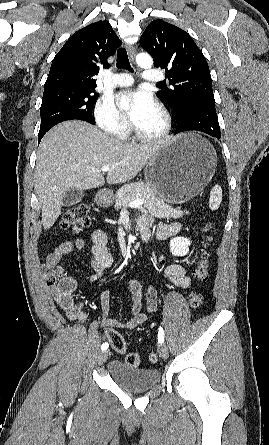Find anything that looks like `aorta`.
Masks as SVG:
<instances>
[{
	"mask_svg": "<svg viewBox=\"0 0 269 445\" xmlns=\"http://www.w3.org/2000/svg\"><path fill=\"white\" fill-rule=\"evenodd\" d=\"M136 62L141 68H144V69H149L153 65V59L151 58L150 55H148L146 53L138 54L136 56ZM120 105L123 109H128L129 102L126 100H122Z\"/></svg>",
	"mask_w": 269,
	"mask_h": 445,
	"instance_id": "aorta-1",
	"label": "aorta"
}]
</instances>
